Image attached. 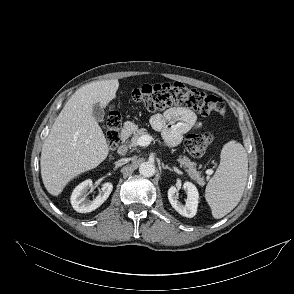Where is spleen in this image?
Here are the masks:
<instances>
[{
    "instance_id": "1",
    "label": "spleen",
    "mask_w": 294,
    "mask_h": 294,
    "mask_svg": "<svg viewBox=\"0 0 294 294\" xmlns=\"http://www.w3.org/2000/svg\"><path fill=\"white\" fill-rule=\"evenodd\" d=\"M221 161L205 189V198L212 215L220 219L231 212L241 200L248 173V159L244 147L237 141L226 143Z\"/></svg>"
}]
</instances>
